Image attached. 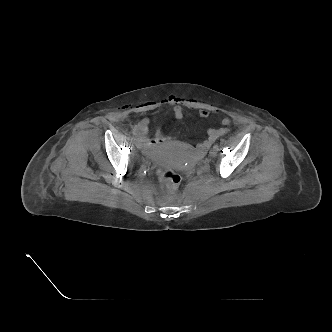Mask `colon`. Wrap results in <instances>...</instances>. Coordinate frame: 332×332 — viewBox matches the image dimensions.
<instances>
[{"instance_id": "1", "label": "colon", "mask_w": 332, "mask_h": 332, "mask_svg": "<svg viewBox=\"0 0 332 332\" xmlns=\"http://www.w3.org/2000/svg\"><path fill=\"white\" fill-rule=\"evenodd\" d=\"M158 178L169 190H176L181 182L180 175L173 170H160L158 172Z\"/></svg>"}]
</instances>
